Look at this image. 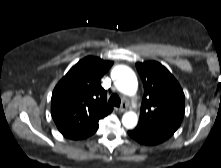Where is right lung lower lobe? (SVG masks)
<instances>
[{
    "label": "right lung lower lobe",
    "instance_id": "obj_1",
    "mask_svg": "<svg viewBox=\"0 0 221 168\" xmlns=\"http://www.w3.org/2000/svg\"><path fill=\"white\" fill-rule=\"evenodd\" d=\"M95 132H96V131H94V132H92V133H90V134H87V135L81 136V137L70 138V139H74V140H77V139H83V138H86V137L92 135V134L95 133Z\"/></svg>",
    "mask_w": 221,
    "mask_h": 168
}]
</instances>
